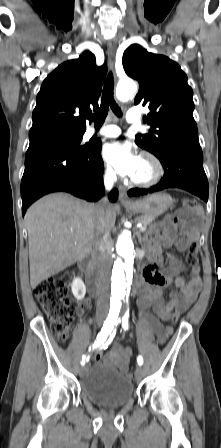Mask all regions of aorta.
I'll list each match as a JSON object with an SVG mask.
<instances>
[{"instance_id": "obj_1", "label": "aorta", "mask_w": 221, "mask_h": 448, "mask_svg": "<svg viewBox=\"0 0 221 448\" xmlns=\"http://www.w3.org/2000/svg\"><path fill=\"white\" fill-rule=\"evenodd\" d=\"M137 90V85L132 80L120 82L117 85L116 96L120 101L131 99ZM116 251L118 258L114 263L112 271V312L118 315L126 297L128 283L132 278L135 259L134 243L131 234L122 232L117 239Z\"/></svg>"}]
</instances>
